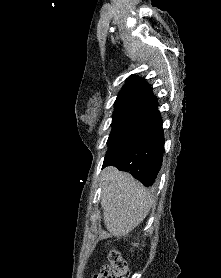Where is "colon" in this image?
<instances>
[{
    "label": "colon",
    "instance_id": "colon-1",
    "mask_svg": "<svg viewBox=\"0 0 221 278\" xmlns=\"http://www.w3.org/2000/svg\"><path fill=\"white\" fill-rule=\"evenodd\" d=\"M109 265L103 266L93 278H128L127 265L116 249L108 253Z\"/></svg>",
    "mask_w": 221,
    "mask_h": 278
}]
</instances>
